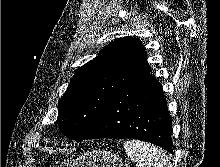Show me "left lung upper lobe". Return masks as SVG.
I'll return each instance as SVG.
<instances>
[{"instance_id":"1","label":"left lung upper lobe","mask_w":220,"mask_h":167,"mask_svg":"<svg viewBox=\"0 0 220 167\" xmlns=\"http://www.w3.org/2000/svg\"><path fill=\"white\" fill-rule=\"evenodd\" d=\"M149 73L146 52L138 39L112 41L99 56L76 71L59 100L55 123L61 133L75 141L84 139L116 95Z\"/></svg>"}]
</instances>
